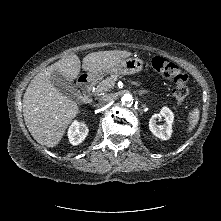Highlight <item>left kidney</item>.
Listing matches in <instances>:
<instances>
[{
  "instance_id": "5707ae66",
  "label": "left kidney",
  "mask_w": 221,
  "mask_h": 221,
  "mask_svg": "<svg viewBox=\"0 0 221 221\" xmlns=\"http://www.w3.org/2000/svg\"><path fill=\"white\" fill-rule=\"evenodd\" d=\"M164 117L165 124L162 126L157 125V118ZM174 114L168 107H163L159 114H154L149 121L150 131L162 140H168L172 134V123Z\"/></svg>"
}]
</instances>
